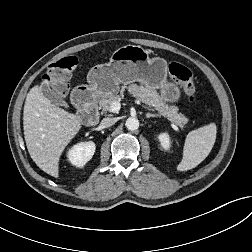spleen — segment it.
<instances>
[{"instance_id":"obj_1","label":"spleen","mask_w":252,"mask_h":252,"mask_svg":"<svg viewBox=\"0 0 252 252\" xmlns=\"http://www.w3.org/2000/svg\"><path fill=\"white\" fill-rule=\"evenodd\" d=\"M217 127L210 123L188 133L184 143L183 158L178 171H187L200 164L211 152L216 140Z\"/></svg>"}]
</instances>
